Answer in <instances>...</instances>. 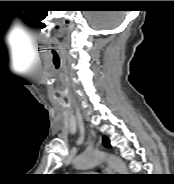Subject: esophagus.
<instances>
[{"label": "esophagus", "mask_w": 174, "mask_h": 184, "mask_svg": "<svg viewBox=\"0 0 174 184\" xmlns=\"http://www.w3.org/2000/svg\"><path fill=\"white\" fill-rule=\"evenodd\" d=\"M102 168H103L106 172H108V173H111V172H112L111 168L109 167V165H108L107 163H103V164H102Z\"/></svg>", "instance_id": "esophagus-1"}]
</instances>
